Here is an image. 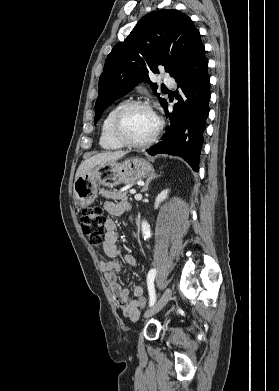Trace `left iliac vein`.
<instances>
[{"instance_id":"obj_1","label":"left iliac vein","mask_w":279,"mask_h":391,"mask_svg":"<svg viewBox=\"0 0 279 391\" xmlns=\"http://www.w3.org/2000/svg\"><path fill=\"white\" fill-rule=\"evenodd\" d=\"M172 296V290L171 288H166L160 299L157 301V303L148 311L145 312L144 318H149L156 313H158L170 300Z\"/></svg>"}]
</instances>
